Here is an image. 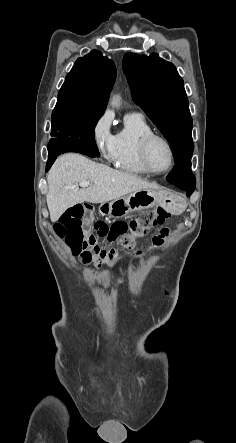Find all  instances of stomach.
I'll return each mask as SVG.
<instances>
[{
    "mask_svg": "<svg viewBox=\"0 0 236 443\" xmlns=\"http://www.w3.org/2000/svg\"><path fill=\"white\" fill-rule=\"evenodd\" d=\"M160 205L173 214H180L186 202L180 196L160 189H143L132 192L109 203H102L99 212L109 218H123L128 214Z\"/></svg>",
    "mask_w": 236,
    "mask_h": 443,
    "instance_id": "obj_1",
    "label": "stomach"
}]
</instances>
